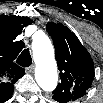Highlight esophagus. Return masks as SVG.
<instances>
[{"mask_svg":"<svg viewBox=\"0 0 103 103\" xmlns=\"http://www.w3.org/2000/svg\"><path fill=\"white\" fill-rule=\"evenodd\" d=\"M34 69H35V66L34 65H31L30 67H28L27 71L28 73H33L34 72Z\"/></svg>","mask_w":103,"mask_h":103,"instance_id":"esophagus-1","label":"esophagus"}]
</instances>
